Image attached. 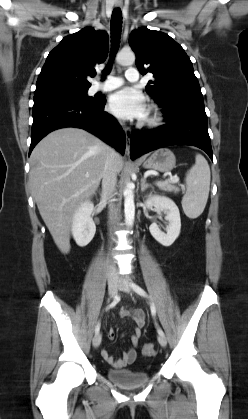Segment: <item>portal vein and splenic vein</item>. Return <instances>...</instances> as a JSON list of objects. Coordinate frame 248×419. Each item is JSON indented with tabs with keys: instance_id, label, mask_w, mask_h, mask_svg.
<instances>
[{
	"instance_id": "obj_1",
	"label": "portal vein and splenic vein",
	"mask_w": 248,
	"mask_h": 419,
	"mask_svg": "<svg viewBox=\"0 0 248 419\" xmlns=\"http://www.w3.org/2000/svg\"><path fill=\"white\" fill-rule=\"evenodd\" d=\"M168 181H169V182H172V183H177V182L179 181V178H178V176H171V177L168 179Z\"/></svg>"
}]
</instances>
